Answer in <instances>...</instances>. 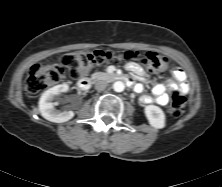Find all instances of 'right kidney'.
<instances>
[{
  "mask_svg": "<svg viewBox=\"0 0 222 187\" xmlns=\"http://www.w3.org/2000/svg\"><path fill=\"white\" fill-rule=\"evenodd\" d=\"M69 86L67 84L56 85L46 90L39 100V111L41 115L48 121L55 123H63L74 117L73 111H60L55 109L57 102H52L55 96L67 92Z\"/></svg>",
  "mask_w": 222,
  "mask_h": 187,
  "instance_id": "obj_1",
  "label": "right kidney"
}]
</instances>
